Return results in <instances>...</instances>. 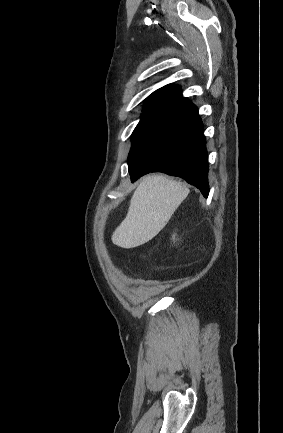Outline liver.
Instances as JSON below:
<instances>
[{"label":"liver","mask_w":283,"mask_h":433,"mask_svg":"<svg viewBox=\"0 0 283 433\" xmlns=\"http://www.w3.org/2000/svg\"><path fill=\"white\" fill-rule=\"evenodd\" d=\"M189 192L177 180L152 174L141 180L129 204L124 221L114 231L111 241L122 249H134L158 235Z\"/></svg>","instance_id":"1"}]
</instances>
